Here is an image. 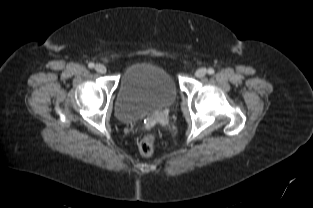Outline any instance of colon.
<instances>
[{
	"mask_svg": "<svg viewBox=\"0 0 313 208\" xmlns=\"http://www.w3.org/2000/svg\"><path fill=\"white\" fill-rule=\"evenodd\" d=\"M155 148V137L153 134H147L142 138L139 143V152L141 155L148 157L151 156Z\"/></svg>",
	"mask_w": 313,
	"mask_h": 208,
	"instance_id": "obj_1",
	"label": "colon"
}]
</instances>
